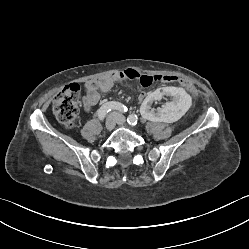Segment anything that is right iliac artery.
<instances>
[{"label":"right iliac artery","instance_id":"82829eb1","mask_svg":"<svg viewBox=\"0 0 249 249\" xmlns=\"http://www.w3.org/2000/svg\"><path fill=\"white\" fill-rule=\"evenodd\" d=\"M113 109L119 110L120 112L127 111V107L119 102H108V103H105L104 105H102L100 107V109L97 111L98 118L100 120H103L105 118L106 114Z\"/></svg>","mask_w":249,"mask_h":249}]
</instances>
